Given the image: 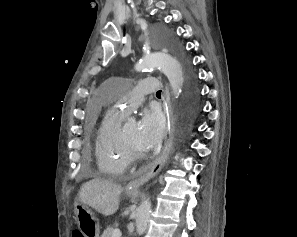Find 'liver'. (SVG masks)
<instances>
[{"label":"liver","instance_id":"obj_1","mask_svg":"<svg viewBox=\"0 0 297 237\" xmlns=\"http://www.w3.org/2000/svg\"><path fill=\"white\" fill-rule=\"evenodd\" d=\"M122 191L120 185L95 178L82 186L79 199L84 205L94 208L98 213L109 216L118 210Z\"/></svg>","mask_w":297,"mask_h":237}]
</instances>
